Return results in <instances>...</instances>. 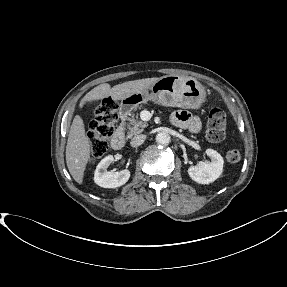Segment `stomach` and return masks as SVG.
<instances>
[{
    "label": "stomach",
    "instance_id": "1",
    "mask_svg": "<svg viewBox=\"0 0 287 287\" xmlns=\"http://www.w3.org/2000/svg\"><path fill=\"white\" fill-rule=\"evenodd\" d=\"M205 96V89L197 80L179 75H166L145 90L122 98L119 113L128 115L140 104L148 101L170 107L198 109L205 101Z\"/></svg>",
    "mask_w": 287,
    "mask_h": 287
}]
</instances>
